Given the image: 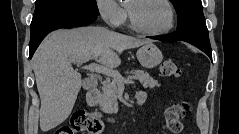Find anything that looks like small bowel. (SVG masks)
<instances>
[{
  "label": "small bowel",
  "mask_w": 239,
  "mask_h": 134,
  "mask_svg": "<svg viewBox=\"0 0 239 134\" xmlns=\"http://www.w3.org/2000/svg\"><path fill=\"white\" fill-rule=\"evenodd\" d=\"M137 95H141L144 98V101L147 99L148 95L146 92H139Z\"/></svg>",
  "instance_id": "c3829d8e"
}]
</instances>
